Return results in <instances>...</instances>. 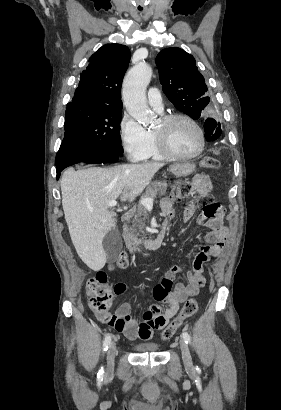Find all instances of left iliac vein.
Wrapping results in <instances>:
<instances>
[{
    "instance_id": "4c4485c4",
    "label": "left iliac vein",
    "mask_w": 281,
    "mask_h": 410,
    "mask_svg": "<svg viewBox=\"0 0 281 410\" xmlns=\"http://www.w3.org/2000/svg\"><path fill=\"white\" fill-rule=\"evenodd\" d=\"M179 343H180V349H181V353H182L183 363H184L186 369L192 370L193 369V363H192V358H191V355H190V352H189L188 345L186 344L184 339H180Z\"/></svg>"
}]
</instances>
